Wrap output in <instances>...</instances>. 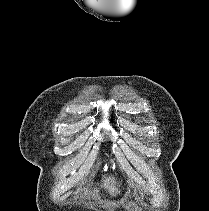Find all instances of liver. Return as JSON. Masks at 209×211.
Instances as JSON below:
<instances>
[{
	"label": "liver",
	"mask_w": 209,
	"mask_h": 211,
	"mask_svg": "<svg viewBox=\"0 0 209 211\" xmlns=\"http://www.w3.org/2000/svg\"><path fill=\"white\" fill-rule=\"evenodd\" d=\"M114 184V180L110 177L106 179L104 183V188H107L109 190L111 196H116V194L119 192L118 188Z\"/></svg>",
	"instance_id": "1"
}]
</instances>
